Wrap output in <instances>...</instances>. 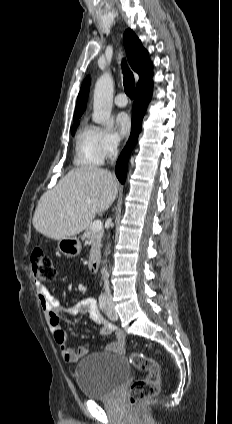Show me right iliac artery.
<instances>
[{
	"mask_svg": "<svg viewBox=\"0 0 232 424\" xmlns=\"http://www.w3.org/2000/svg\"><path fill=\"white\" fill-rule=\"evenodd\" d=\"M99 307L102 311L106 308V296L104 294L99 296Z\"/></svg>",
	"mask_w": 232,
	"mask_h": 424,
	"instance_id": "right-iliac-artery-1",
	"label": "right iliac artery"
}]
</instances>
